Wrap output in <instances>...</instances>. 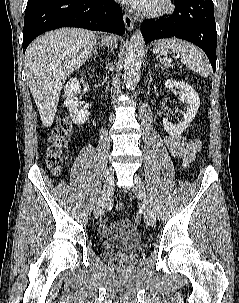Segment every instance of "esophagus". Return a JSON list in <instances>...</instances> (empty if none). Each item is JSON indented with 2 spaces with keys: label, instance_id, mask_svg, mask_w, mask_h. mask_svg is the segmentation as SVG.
I'll return each instance as SVG.
<instances>
[{
  "label": "esophagus",
  "instance_id": "1",
  "mask_svg": "<svg viewBox=\"0 0 239 303\" xmlns=\"http://www.w3.org/2000/svg\"><path fill=\"white\" fill-rule=\"evenodd\" d=\"M123 19H124V23H125V27H126L127 31H132V29L134 28V21L131 18V16L125 12L123 15Z\"/></svg>",
  "mask_w": 239,
  "mask_h": 303
}]
</instances>
